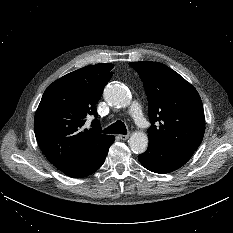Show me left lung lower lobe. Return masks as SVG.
Returning <instances> with one entry per match:
<instances>
[{
    "mask_svg": "<svg viewBox=\"0 0 233 233\" xmlns=\"http://www.w3.org/2000/svg\"><path fill=\"white\" fill-rule=\"evenodd\" d=\"M194 151L160 147L149 143L146 152L138 156L141 164L155 173H169L183 166L192 156Z\"/></svg>",
    "mask_w": 233,
    "mask_h": 233,
    "instance_id": "left-lung-lower-lobe-1",
    "label": "left lung lower lobe"
}]
</instances>
